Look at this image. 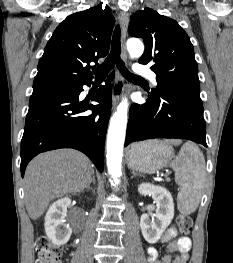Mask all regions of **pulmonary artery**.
<instances>
[{"label":"pulmonary artery","mask_w":233,"mask_h":263,"mask_svg":"<svg viewBox=\"0 0 233 263\" xmlns=\"http://www.w3.org/2000/svg\"><path fill=\"white\" fill-rule=\"evenodd\" d=\"M134 72L137 73L138 75L149 78L154 84H157L156 74L149 67L144 65H137L134 69Z\"/></svg>","instance_id":"pulmonary-artery-1"}]
</instances>
